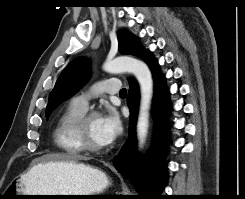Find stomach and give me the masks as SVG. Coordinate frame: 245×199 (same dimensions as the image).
Here are the masks:
<instances>
[{"instance_id": "1", "label": "stomach", "mask_w": 245, "mask_h": 199, "mask_svg": "<svg viewBox=\"0 0 245 199\" xmlns=\"http://www.w3.org/2000/svg\"><path fill=\"white\" fill-rule=\"evenodd\" d=\"M33 171L36 172L31 178L23 175L20 180L11 182L7 189L10 188L13 195H95L93 193L101 192L109 185V179L103 171L80 162L38 166ZM25 197L27 196H18ZM64 198L79 197L46 196L36 199Z\"/></svg>"}]
</instances>
